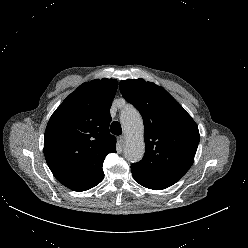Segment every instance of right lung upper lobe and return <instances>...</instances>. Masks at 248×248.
Instances as JSON below:
<instances>
[{"label": "right lung upper lobe", "mask_w": 248, "mask_h": 248, "mask_svg": "<svg viewBox=\"0 0 248 248\" xmlns=\"http://www.w3.org/2000/svg\"><path fill=\"white\" fill-rule=\"evenodd\" d=\"M117 80L82 84L52 114L44 136V155L53 175L74 191H85L104 178L103 160L115 153L109 132L110 107Z\"/></svg>", "instance_id": "1"}]
</instances>
